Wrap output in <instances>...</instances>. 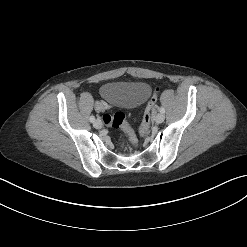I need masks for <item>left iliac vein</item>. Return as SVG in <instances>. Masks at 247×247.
<instances>
[{"mask_svg": "<svg viewBox=\"0 0 247 247\" xmlns=\"http://www.w3.org/2000/svg\"><path fill=\"white\" fill-rule=\"evenodd\" d=\"M164 119H165L164 114H163V113H158V114L156 115V117H155V122H156L157 124H160V123H162V122L164 121Z\"/></svg>", "mask_w": 247, "mask_h": 247, "instance_id": "obj_1", "label": "left iliac vein"}]
</instances>
